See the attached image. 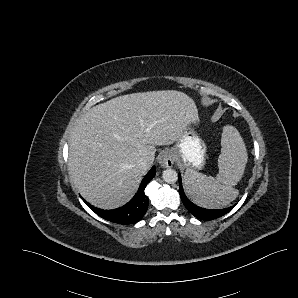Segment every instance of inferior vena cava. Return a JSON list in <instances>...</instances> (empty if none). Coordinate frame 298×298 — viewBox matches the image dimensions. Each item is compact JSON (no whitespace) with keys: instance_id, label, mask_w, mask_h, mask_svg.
I'll return each mask as SVG.
<instances>
[{"instance_id":"1","label":"inferior vena cava","mask_w":298,"mask_h":298,"mask_svg":"<svg viewBox=\"0 0 298 298\" xmlns=\"http://www.w3.org/2000/svg\"><path fill=\"white\" fill-rule=\"evenodd\" d=\"M137 165L143 170H147L152 166L151 162L148 160L147 157L140 158V160L137 162Z\"/></svg>"}]
</instances>
